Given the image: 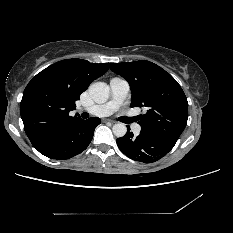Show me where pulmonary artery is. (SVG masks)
Segmentation results:
<instances>
[{"instance_id":"e3ab8cb5","label":"pulmonary artery","mask_w":233,"mask_h":233,"mask_svg":"<svg viewBox=\"0 0 233 233\" xmlns=\"http://www.w3.org/2000/svg\"><path fill=\"white\" fill-rule=\"evenodd\" d=\"M110 98L108 101L102 104H96L91 107H79L78 112L86 111L94 116H108L115 112L120 106L121 102L126 98L129 93L130 87L128 82L120 77H114L110 79ZM132 129L136 134H139L141 130L140 124L137 122L132 123Z\"/></svg>"}]
</instances>
